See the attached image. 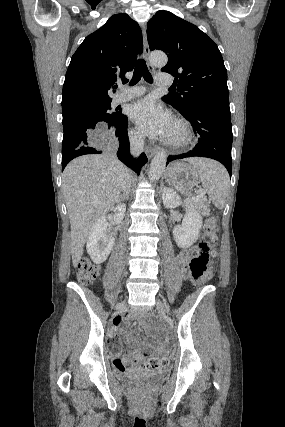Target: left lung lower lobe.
<instances>
[{
  "label": "left lung lower lobe",
  "mask_w": 285,
  "mask_h": 427,
  "mask_svg": "<svg viewBox=\"0 0 285 427\" xmlns=\"http://www.w3.org/2000/svg\"><path fill=\"white\" fill-rule=\"evenodd\" d=\"M190 121L198 136V143L188 153L169 156L167 164L186 157H207L221 162L231 175L232 126L230 108L214 104H200L181 113Z\"/></svg>",
  "instance_id": "1"
}]
</instances>
